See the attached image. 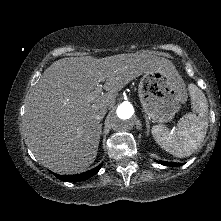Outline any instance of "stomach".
Masks as SVG:
<instances>
[{
	"label": "stomach",
	"mask_w": 221,
	"mask_h": 221,
	"mask_svg": "<svg viewBox=\"0 0 221 221\" xmlns=\"http://www.w3.org/2000/svg\"><path fill=\"white\" fill-rule=\"evenodd\" d=\"M138 95L145 113L159 123L171 121L187 101L185 84L175 67L144 73Z\"/></svg>",
	"instance_id": "0dacf381"
}]
</instances>
